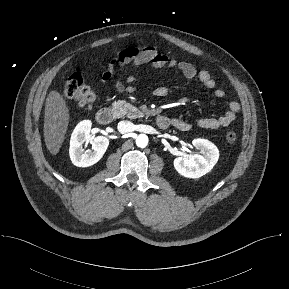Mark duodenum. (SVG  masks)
Masks as SVG:
<instances>
[{
    "instance_id": "duodenum-1",
    "label": "duodenum",
    "mask_w": 289,
    "mask_h": 289,
    "mask_svg": "<svg viewBox=\"0 0 289 289\" xmlns=\"http://www.w3.org/2000/svg\"><path fill=\"white\" fill-rule=\"evenodd\" d=\"M96 120L102 125L109 124L113 120V111L108 107L99 109L96 113ZM155 122L161 129H166L171 125V120L164 115H158Z\"/></svg>"
}]
</instances>
